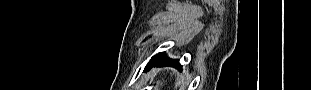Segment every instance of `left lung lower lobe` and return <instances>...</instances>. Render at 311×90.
Segmentation results:
<instances>
[{
  "mask_svg": "<svg viewBox=\"0 0 311 90\" xmlns=\"http://www.w3.org/2000/svg\"><path fill=\"white\" fill-rule=\"evenodd\" d=\"M152 65H170V66H177L180 67L179 62L177 60H171L168 59L165 55V53H159L156 56H154L148 65L146 66V69L151 67Z\"/></svg>",
  "mask_w": 311,
  "mask_h": 90,
  "instance_id": "0a47b994",
  "label": "left lung lower lobe"
}]
</instances>
